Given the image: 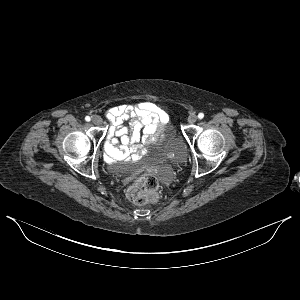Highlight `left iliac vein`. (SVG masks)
Returning a JSON list of instances; mask_svg holds the SVG:
<instances>
[{"label":"left iliac vein","instance_id":"obj_1","mask_svg":"<svg viewBox=\"0 0 300 300\" xmlns=\"http://www.w3.org/2000/svg\"><path fill=\"white\" fill-rule=\"evenodd\" d=\"M197 119H198L197 115L192 113L188 117V122H189V124H194L197 121Z\"/></svg>","mask_w":300,"mask_h":300}]
</instances>
